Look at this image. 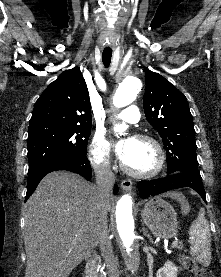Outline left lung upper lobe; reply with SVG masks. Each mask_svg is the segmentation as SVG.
Wrapping results in <instances>:
<instances>
[{"mask_svg": "<svg viewBox=\"0 0 221 277\" xmlns=\"http://www.w3.org/2000/svg\"><path fill=\"white\" fill-rule=\"evenodd\" d=\"M145 80L144 112L166 148L167 174L184 172L201 177L195 130L185 95L158 73L147 70Z\"/></svg>", "mask_w": 221, "mask_h": 277, "instance_id": "left-lung-upper-lobe-1", "label": "left lung upper lobe"}]
</instances>
